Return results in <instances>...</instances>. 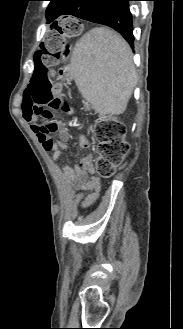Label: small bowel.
Wrapping results in <instances>:
<instances>
[{
  "label": "small bowel",
  "mask_w": 183,
  "mask_h": 329,
  "mask_svg": "<svg viewBox=\"0 0 183 329\" xmlns=\"http://www.w3.org/2000/svg\"><path fill=\"white\" fill-rule=\"evenodd\" d=\"M24 120L29 124L32 131L36 135L38 141L41 143L46 151L52 153L53 160L61 156L63 151L67 148L66 136L67 132L63 127L60 128L61 140L54 142L49 135H44L40 132L41 119L32 114H22ZM51 139L52 145L50 148L45 147V141ZM89 146V141L84 139L80 143L81 149ZM93 157L91 155L81 157L74 167H65L64 174L66 177L73 180L78 189L83 191L82 206L88 207L92 205L99 196L100 183L95 177V169L93 166Z\"/></svg>",
  "instance_id": "small-bowel-1"
}]
</instances>
